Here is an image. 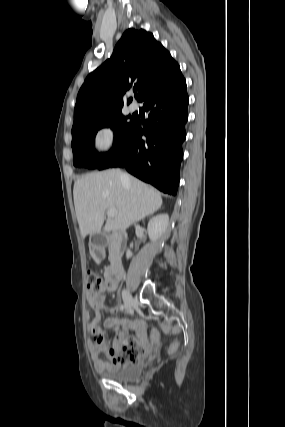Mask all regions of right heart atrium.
Returning a JSON list of instances; mask_svg holds the SVG:
<instances>
[{
    "label": "right heart atrium",
    "mask_w": 285,
    "mask_h": 427,
    "mask_svg": "<svg viewBox=\"0 0 285 427\" xmlns=\"http://www.w3.org/2000/svg\"><path fill=\"white\" fill-rule=\"evenodd\" d=\"M116 140L115 128L110 124H104L94 131L92 146L99 155H107L114 149Z\"/></svg>",
    "instance_id": "1"
}]
</instances>
